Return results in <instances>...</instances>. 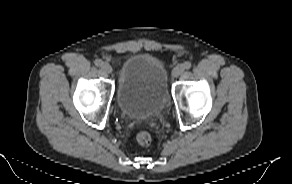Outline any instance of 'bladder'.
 Returning <instances> with one entry per match:
<instances>
[{
    "instance_id": "bladder-1",
    "label": "bladder",
    "mask_w": 292,
    "mask_h": 184,
    "mask_svg": "<svg viewBox=\"0 0 292 184\" xmlns=\"http://www.w3.org/2000/svg\"><path fill=\"white\" fill-rule=\"evenodd\" d=\"M117 104L125 116L157 118L169 101L168 73L164 64L149 54H132L121 65Z\"/></svg>"
}]
</instances>
